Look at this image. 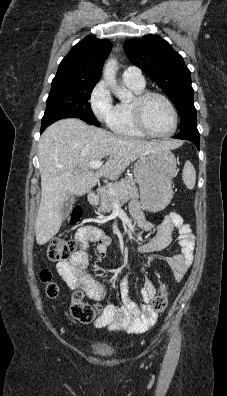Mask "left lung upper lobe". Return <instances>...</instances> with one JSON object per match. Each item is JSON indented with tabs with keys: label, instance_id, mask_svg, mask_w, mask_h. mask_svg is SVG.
<instances>
[{
	"label": "left lung upper lobe",
	"instance_id": "obj_1",
	"mask_svg": "<svg viewBox=\"0 0 227 396\" xmlns=\"http://www.w3.org/2000/svg\"><path fill=\"white\" fill-rule=\"evenodd\" d=\"M124 50L129 60L150 76L177 108L181 127L196 120L190 71L180 54L160 36L128 40Z\"/></svg>",
	"mask_w": 227,
	"mask_h": 396
}]
</instances>
